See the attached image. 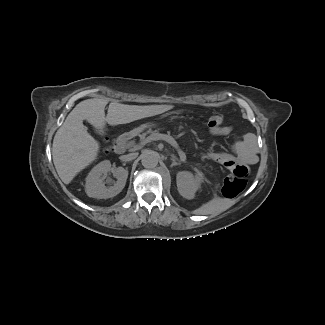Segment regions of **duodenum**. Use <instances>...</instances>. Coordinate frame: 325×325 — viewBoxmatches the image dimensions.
Instances as JSON below:
<instances>
[{
	"mask_svg": "<svg viewBox=\"0 0 325 325\" xmlns=\"http://www.w3.org/2000/svg\"><path fill=\"white\" fill-rule=\"evenodd\" d=\"M129 137L127 134H122L115 142L114 150L116 153H123L128 146Z\"/></svg>",
	"mask_w": 325,
	"mask_h": 325,
	"instance_id": "duodenum-1",
	"label": "duodenum"
}]
</instances>
